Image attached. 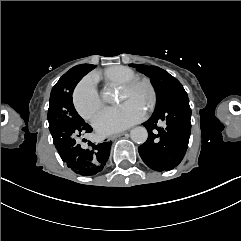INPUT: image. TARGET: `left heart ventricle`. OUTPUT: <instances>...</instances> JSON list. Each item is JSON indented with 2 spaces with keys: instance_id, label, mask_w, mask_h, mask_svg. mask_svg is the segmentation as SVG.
Masks as SVG:
<instances>
[{
  "instance_id": "1",
  "label": "left heart ventricle",
  "mask_w": 241,
  "mask_h": 241,
  "mask_svg": "<svg viewBox=\"0 0 241 241\" xmlns=\"http://www.w3.org/2000/svg\"><path fill=\"white\" fill-rule=\"evenodd\" d=\"M132 102H137L142 108L150 107L155 99V93L150 81L142 78L136 84V89L132 91Z\"/></svg>"
}]
</instances>
